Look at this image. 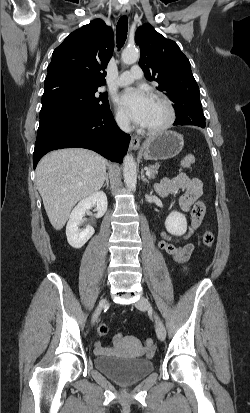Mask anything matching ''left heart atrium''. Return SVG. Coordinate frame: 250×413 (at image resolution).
I'll return each mask as SVG.
<instances>
[{
	"label": "left heart atrium",
	"instance_id": "1",
	"mask_svg": "<svg viewBox=\"0 0 250 413\" xmlns=\"http://www.w3.org/2000/svg\"><path fill=\"white\" fill-rule=\"evenodd\" d=\"M152 97L141 89L129 88L118 98V104L125 113L137 124L144 125Z\"/></svg>",
	"mask_w": 250,
	"mask_h": 413
}]
</instances>
